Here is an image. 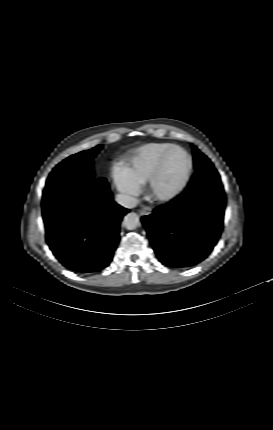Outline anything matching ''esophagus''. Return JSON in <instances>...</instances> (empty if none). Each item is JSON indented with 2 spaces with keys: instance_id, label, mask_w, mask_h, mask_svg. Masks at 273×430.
<instances>
[{
  "instance_id": "1",
  "label": "esophagus",
  "mask_w": 273,
  "mask_h": 430,
  "mask_svg": "<svg viewBox=\"0 0 273 430\" xmlns=\"http://www.w3.org/2000/svg\"><path fill=\"white\" fill-rule=\"evenodd\" d=\"M151 212H152V209H151L150 207H147V206H143V207L139 210L140 215H145V216L150 215V214H151Z\"/></svg>"
}]
</instances>
